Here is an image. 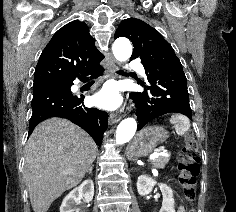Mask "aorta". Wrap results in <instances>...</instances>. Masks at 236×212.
Instances as JSON below:
<instances>
[{
	"instance_id": "1",
	"label": "aorta",
	"mask_w": 236,
	"mask_h": 212,
	"mask_svg": "<svg viewBox=\"0 0 236 212\" xmlns=\"http://www.w3.org/2000/svg\"><path fill=\"white\" fill-rule=\"evenodd\" d=\"M112 51L115 58L124 62L131 57L132 45L126 38L117 39L112 46ZM137 122L134 118H126L120 122L116 130V143L124 144L128 142L135 134Z\"/></svg>"
}]
</instances>
